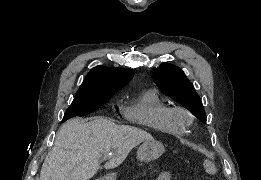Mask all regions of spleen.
Listing matches in <instances>:
<instances>
[{
  "instance_id": "obj_1",
  "label": "spleen",
  "mask_w": 261,
  "mask_h": 180,
  "mask_svg": "<svg viewBox=\"0 0 261 180\" xmlns=\"http://www.w3.org/2000/svg\"><path fill=\"white\" fill-rule=\"evenodd\" d=\"M206 172H208V174H216V170L215 168H213V166H209V168H206Z\"/></svg>"
}]
</instances>
